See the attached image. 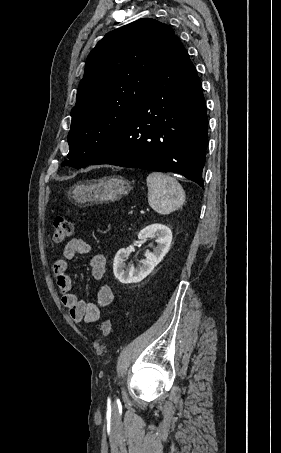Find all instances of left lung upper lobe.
Segmentation results:
<instances>
[{
    "label": "left lung upper lobe",
    "instance_id": "left-lung-upper-lobe-1",
    "mask_svg": "<svg viewBox=\"0 0 281 453\" xmlns=\"http://www.w3.org/2000/svg\"><path fill=\"white\" fill-rule=\"evenodd\" d=\"M175 37L166 24L143 18L97 43L71 111L70 160L62 166H88L111 145L166 63Z\"/></svg>",
    "mask_w": 281,
    "mask_h": 453
}]
</instances>
